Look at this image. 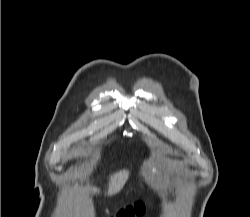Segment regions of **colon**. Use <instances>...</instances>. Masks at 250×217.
<instances>
[{"instance_id": "obj_1", "label": "colon", "mask_w": 250, "mask_h": 217, "mask_svg": "<svg viewBox=\"0 0 250 217\" xmlns=\"http://www.w3.org/2000/svg\"><path fill=\"white\" fill-rule=\"evenodd\" d=\"M145 211V205L142 202H136L122 207L113 217H137Z\"/></svg>"}]
</instances>
